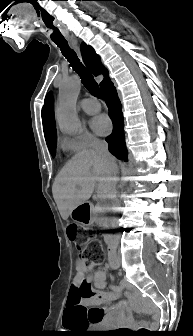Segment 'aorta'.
<instances>
[{
    "mask_svg": "<svg viewBox=\"0 0 193 336\" xmlns=\"http://www.w3.org/2000/svg\"><path fill=\"white\" fill-rule=\"evenodd\" d=\"M81 83L76 77L64 79L59 87L57 121L62 132L76 134L81 123L76 113V102L79 96Z\"/></svg>",
    "mask_w": 193,
    "mask_h": 336,
    "instance_id": "aorta-1",
    "label": "aorta"
}]
</instances>
